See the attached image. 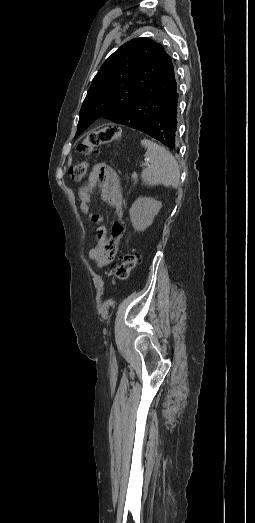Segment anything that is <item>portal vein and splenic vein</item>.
I'll return each mask as SVG.
<instances>
[{"instance_id": "18ae733b", "label": "portal vein and splenic vein", "mask_w": 255, "mask_h": 523, "mask_svg": "<svg viewBox=\"0 0 255 523\" xmlns=\"http://www.w3.org/2000/svg\"><path fill=\"white\" fill-rule=\"evenodd\" d=\"M137 165H142L143 167H146L148 165V162L146 160H143L142 162H137Z\"/></svg>"}]
</instances>
